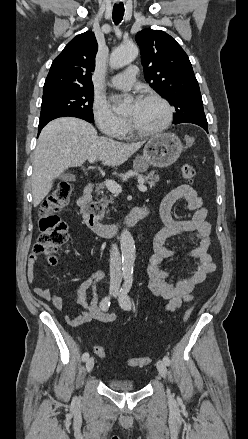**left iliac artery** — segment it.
I'll use <instances>...</instances> for the list:
<instances>
[{
    "instance_id": "obj_1",
    "label": "left iliac artery",
    "mask_w": 248,
    "mask_h": 439,
    "mask_svg": "<svg viewBox=\"0 0 248 439\" xmlns=\"http://www.w3.org/2000/svg\"><path fill=\"white\" fill-rule=\"evenodd\" d=\"M133 282V276L132 274H127L125 276V282L123 284V287L121 288V295L119 298L120 306L125 310H131L132 304L131 299L128 295L131 286ZM163 361L166 365H170L171 361L168 356L163 357Z\"/></svg>"
}]
</instances>
